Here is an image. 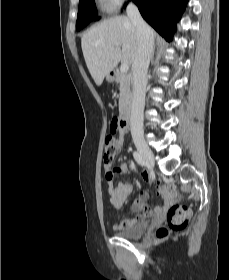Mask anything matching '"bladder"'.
I'll use <instances>...</instances> for the list:
<instances>
[{
  "label": "bladder",
  "mask_w": 229,
  "mask_h": 280,
  "mask_svg": "<svg viewBox=\"0 0 229 280\" xmlns=\"http://www.w3.org/2000/svg\"><path fill=\"white\" fill-rule=\"evenodd\" d=\"M147 228L148 222L145 219H142L130 228L116 231L115 235L125 238H138L146 232Z\"/></svg>",
  "instance_id": "1"
}]
</instances>
